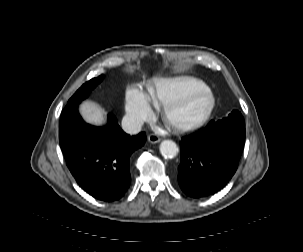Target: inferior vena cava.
I'll list each match as a JSON object with an SVG mask.
<instances>
[{"mask_svg": "<svg viewBox=\"0 0 303 252\" xmlns=\"http://www.w3.org/2000/svg\"><path fill=\"white\" fill-rule=\"evenodd\" d=\"M142 121L132 116H124L122 119V128L128 134H137L141 131Z\"/></svg>", "mask_w": 303, "mask_h": 252, "instance_id": "obj_1", "label": "inferior vena cava"}]
</instances>
